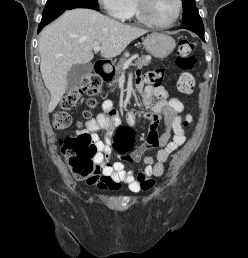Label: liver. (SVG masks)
<instances>
[{
	"label": "liver",
	"mask_w": 248,
	"mask_h": 258,
	"mask_svg": "<svg viewBox=\"0 0 248 258\" xmlns=\"http://www.w3.org/2000/svg\"><path fill=\"white\" fill-rule=\"evenodd\" d=\"M147 30L122 24L91 9L66 11L43 29L39 38L40 71L51 99L52 112L64 95L67 74L75 64L89 63L95 46H101V56L120 55Z\"/></svg>",
	"instance_id": "6515ba94"
}]
</instances>
